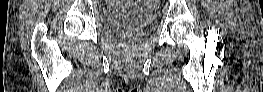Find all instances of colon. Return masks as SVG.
<instances>
[{
    "mask_svg": "<svg viewBox=\"0 0 263 92\" xmlns=\"http://www.w3.org/2000/svg\"><path fill=\"white\" fill-rule=\"evenodd\" d=\"M115 2H110V4H114Z\"/></svg>",
    "mask_w": 263,
    "mask_h": 92,
    "instance_id": "obj_1",
    "label": "colon"
}]
</instances>
